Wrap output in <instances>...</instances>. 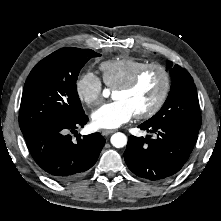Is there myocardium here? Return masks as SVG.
I'll use <instances>...</instances> for the list:
<instances>
[{
  "instance_id": "1",
  "label": "myocardium",
  "mask_w": 221,
  "mask_h": 221,
  "mask_svg": "<svg viewBox=\"0 0 221 221\" xmlns=\"http://www.w3.org/2000/svg\"><path fill=\"white\" fill-rule=\"evenodd\" d=\"M151 69H156L160 72L163 78V86L154 104L147 110L135 114V117L141 120L154 116L165 104L172 86L171 75L167 68L164 65L156 62L146 63L140 67L127 81L114 88L115 91H127L132 89L140 81L143 75Z\"/></svg>"
}]
</instances>
